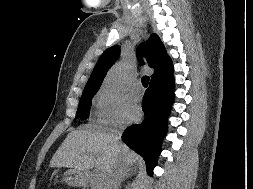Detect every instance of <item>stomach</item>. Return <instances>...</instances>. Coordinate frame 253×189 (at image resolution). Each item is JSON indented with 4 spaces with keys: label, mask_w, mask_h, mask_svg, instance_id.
I'll use <instances>...</instances> for the list:
<instances>
[{
    "label": "stomach",
    "mask_w": 253,
    "mask_h": 189,
    "mask_svg": "<svg viewBox=\"0 0 253 189\" xmlns=\"http://www.w3.org/2000/svg\"><path fill=\"white\" fill-rule=\"evenodd\" d=\"M63 181L66 182L68 185L71 186H81L85 184L90 176L87 172L85 171H78V170H68L66 171L63 176Z\"/></svg>",
    "instance_id": "0dacf381"
}]
</instances>
